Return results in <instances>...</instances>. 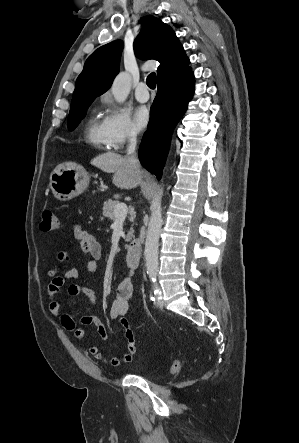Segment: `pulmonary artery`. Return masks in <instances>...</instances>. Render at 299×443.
Wrapping results in <instances>:
<instances>
[{
  "mask_svg": "<svg viewBox=\"0 0 299 443\" xmlns=\"http://www.w3.org/2000/svg\"><path fill=\"white\" fill-rule=\"evenodd\" d=\"M135 97L139 102H147L149 100V93L147 90V86L144 82L138 84L135 90Z\"/></svg>",
  "mask_w": 299,
  "mask_h": 443,
  "instance_id": "pulmonary-artery-1",
  "label": "pulmonary artery"
}]
</instances>
